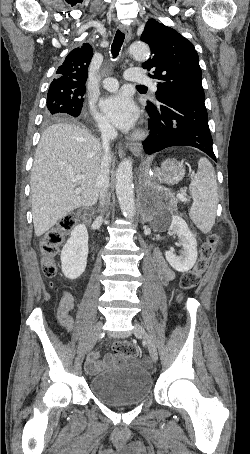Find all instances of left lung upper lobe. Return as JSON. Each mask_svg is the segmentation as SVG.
Here are the masks:
<instances>
[{
	"label": "left lung upper lobe",
	"instance_id": "1",
	"mask_svg": "<svg viewBox=\"0 0 250 454\" xmlns=\"http://www.w3.org/2000/svg\"><path fill=\"white\" fill-rule=\"evenodd\" d=\"M141 40L151 48L152 57L142 64L158 80L156 98L204 99L199 57L193 44L174 29L149 19ZM148 107L155 106L147 102Z\"/></svg>",
	"mask_w": 250,
	"mask_h": 454
}]
</instances>
